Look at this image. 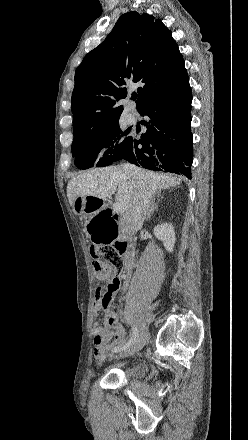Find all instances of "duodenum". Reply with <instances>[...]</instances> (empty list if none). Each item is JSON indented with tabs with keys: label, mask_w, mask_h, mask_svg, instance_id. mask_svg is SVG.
Segmentation results:
<instances>
[{
	"label": "duodenum",
	"mask_w": 248,
	"mask_h": 440,
	"mask_svg": "<svg viewBox=\"0 0 248 440\" xmlns=\"http://www.w3.org/2000/svg\"><path fill=\"white\" fill-rule=\"evenodd\" d=\"M114 218H117V222L120 219L117 215ZM115 245L117 249L124 255L126 260L129 261L134 253V245L132 241L128 238L118 236V241H115Z\"/></svg>",
	"instance_id": "1"
}]
</instances>
